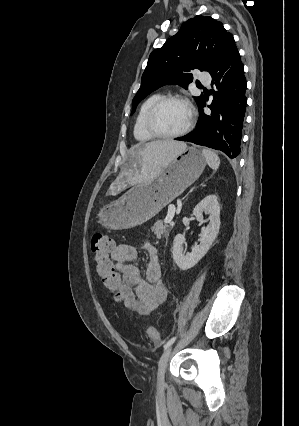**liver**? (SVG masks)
Instances as JSON below:
<instances>
[{"label": "liver", "mask_w": 299, "mask_h": 426, "mask_svg": "<svg viewBox=\"0 0 299 426\" xmlns=\"http://www.w3.org/2000/svg\"><path fill=\"white\" fill-rule=\"evenodd\" d=\"M186 148L185 143L174 140H156L133 146L128 161L136 172L135 181L143 183L155 179Z\"/></svg>", "instance_id": "1"}]
</instances>
